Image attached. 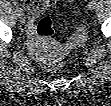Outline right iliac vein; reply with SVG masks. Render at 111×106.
I'll return each instance as SVG.
<instances>
[{
  "mask_svg": "<svg viewBox=\"0 0 111 106\" xmlns=\"http://www.w3.org/2000/svg\"><path fill=\"white\" fill-rule=\"evenodd\" d=\"M16 14L19 18H23L24 17V12L21 8H17L16 9Z\"/></svg>",
  "mask_w": 111,
  "mask_h": 106,
  "instance_id": "obj_1",
  "label": "right iliac vein"
}]
</instances>
